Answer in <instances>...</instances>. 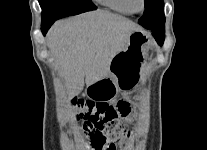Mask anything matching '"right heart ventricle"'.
<instances>
[{"instance_id":"e07e8e85","label":"right heart ventricle","mask_w":207,"mask_h":150,"mask_svg":"<svg viewBox=\"0 0 207 150\" xmlns=\"http://www.w3.org/2000/svg\"><path fill=\"white\" fill-rule=\"evenodd\" d=\"M101 5L105 6L106 8L123 14V15H131L133 14L132 10L130 9L127 0H97Z\"/></svg>"}]
</instances>
